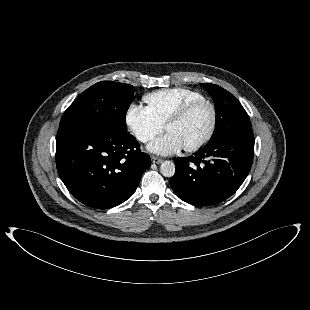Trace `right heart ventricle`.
<instances>
[{"label": "right heart ventricle", "instance_id": "right-heart-ventricle-1", "mask_svg": "<svg viewBox=\"0 0 310 310\" xmlns=\"http://www.w3.org/2000/svg\"><path fill=\"white\" fill-rule=\"evenodd\" d=\"M201 98L204 96L192 89L170 88L146 94L143 101L154 119L164 126L184 105Z\"/></svg>", "mask_w": 310, "mask_h": 310}]
</instances>
